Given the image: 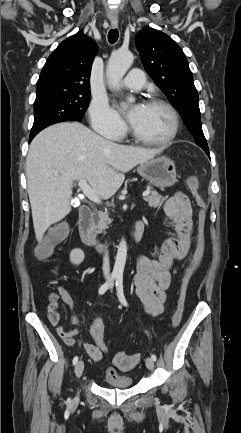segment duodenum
<instances>
[{"mask_svg":"<svg viewBox=\"0 0 241 433\" xmlns=\"http://www.w3.org/2000/svg\"><path fill=\"white\" fill-rule=\"evenodd\" d=\"M92 210L88 207L82 208L79 215V234L82 242L90 248H96L100 251L104 249L103 244L98 242L92 227ZM144 228V220L138 219L134 222L130 238L133 243H138L141 239Z\"/></svg>","mask_w":241,"mask_h":433,"instance_id":"obj_1","label":"duodenum"}]
</instances>
